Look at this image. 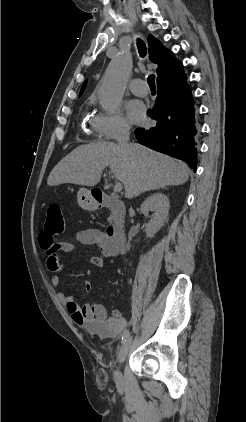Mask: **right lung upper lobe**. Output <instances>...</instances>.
Segmentation results:
<instances>
[{"label": "right lung upper lobe", "instance_id": "right-lung-upper-lobe-1", "mask_svg": "<svg viewBox=\"0 0 246 422\" xmlns=\"http://www.w3.org/2000/svg\"><path fill=\"white\" fill-rule=\"evenodd\" d=\"M148 45L150 60L158 65L156 70L158 85L173 81L184 75L182 63L174 58L173 53L169 49H166L159 40L149 35ZM85 87L86 82H84L81 88L80 95L83 93Z\"/></svg>", "mask_w": 246, "mask_h": 422}]
</instances>
